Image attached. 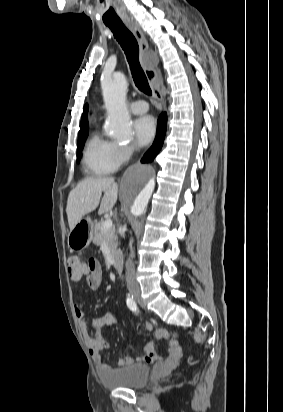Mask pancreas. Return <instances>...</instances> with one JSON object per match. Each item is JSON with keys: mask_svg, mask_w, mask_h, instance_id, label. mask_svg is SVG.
Wrapping results in <instances>:
<instances>
[{"mask_svg": "<svg viewBox=\"0 0 283 412\" xmlns=\"http://www.w3.org/2000/svg\"><path fill=\"white\" fill-rule=\"evenodd\" d=\"M103 221H100L95 224L93 230V242L97 245H100L102 242H106L111 254L113 255L117 249V234L114 227H111L108 230L102 229Z\"/></svg>", "mask_w": 283, "mask_h": 412, "instance_id": "pancreas-1", "label": "pancreas"}]
</instances>
